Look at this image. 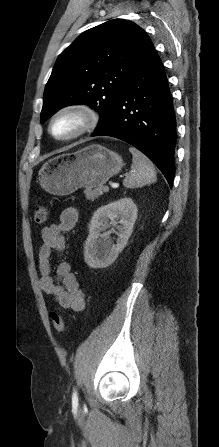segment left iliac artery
Returning <instances> with one entry per match:
<instances>
[{
	"label": "left iliac artery",
	"instance_id": "obj_1",
	"mask_svg": "<svg viewBox=\"0 0 219 447\" xmlns=\"http://www.w3.org/2000/svg\"><path fill=\"white\" fill-rule=\"evenodd\" d=\"M72 400L73 401H77L78 400V396H77V392L76 391L73 392Z\"/></svg>",
	"mask_w": 219,
	"mask_h": 447
}]
</instances>
